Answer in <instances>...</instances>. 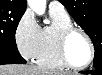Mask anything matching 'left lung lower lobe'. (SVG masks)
I'll return each mask as SVG.
<instances>
[{"instance_id": "obj_1", "label": "left lung lower lobe", "mask_w": 102, "mask_h": 75, "mask_svg": "<svg viewBox=\"0 0 102 75\" xmlns=\"http://www.w3.org/2000/svg\"><path fill=\"white\" fill-rule=\"evenodd\" d=\"M83 74H92V75H101L102 74V68H97L94 71H82Z\"/></svg>"}]
</instances>
